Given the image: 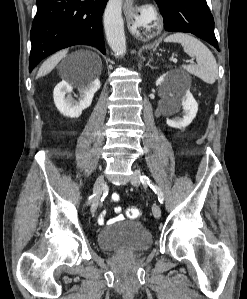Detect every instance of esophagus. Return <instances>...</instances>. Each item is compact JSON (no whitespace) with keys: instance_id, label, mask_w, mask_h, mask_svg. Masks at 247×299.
I'll return each instance as SVG.
<instances>
[{"instance_id":"esophagus-1","label":"esophagus","mask_w":247,"mask_h":299,"mask_svg":"<svg viewBox=\"0 0 247 299\" xmlns=\"http://www.w3.org/2000/svg\"><path fill=\"white\" fill-rule=\"evenodd\" d=\"M133 0H124V8L128 9L132 6Z\"/></svg>"}]
</instances>
